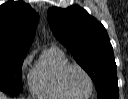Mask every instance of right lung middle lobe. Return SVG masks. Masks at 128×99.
Returning <instances> with one entry per match:
<instances>
[{
	"label": "right lung middle lobe",
	"mask_w": 128,
	"mask_h": 99,
	"mask_svg": "<svg viewBox=\"0 0 128 99\" xmlns=\"http://www.w3.org/2000/svg\"><path fill=\"white\" fill-rule=\"evenodd\" d=\"M26 53L0 51V91L18 95L23 91L21 67Z\"/></svg>",
	"instance_id": "1"
}]
</instances>
